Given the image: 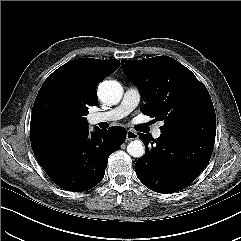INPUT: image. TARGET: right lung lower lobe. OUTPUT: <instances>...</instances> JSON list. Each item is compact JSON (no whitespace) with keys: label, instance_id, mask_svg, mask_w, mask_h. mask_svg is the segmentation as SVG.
Returning a JSON list of instances; mask_svg holds the SVG:
<instances>
[{"label":"right lung lower lobe","instance_id":"98d812e1","mask_svg":"<svg viewBox=\"0 0 241 241\" xmlns=\"http://www.w3.org/2000/svg\"><path fill=\"white\" fill-rule=\"evenodd\" d=\"M126 129L109 130L88 127L60 137L32 143L37 161L48 176L60 187L87 191L104 177L108 157L124 142Z\"/></svg>","mask_w":241,"mask_h":241}]
</instances>
